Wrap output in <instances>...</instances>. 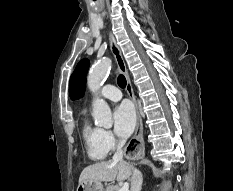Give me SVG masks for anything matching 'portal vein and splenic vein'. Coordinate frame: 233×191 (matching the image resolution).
<instances>
[{
  "instance_id": "18ae733b",
  "label": "portal vein and splenic vein",
  "mask_w": 233,
  "mask_h": 191,
  "mask_svg": "<svg viewBox=\"0 0 233 191\" xmlns=\"http://www.w3.org/2000/svg\"><path fill=\"white\" fill-rule=\"evenodd\" d=\"M120 191H129V184L124 183V185L121 187Z\"/></svg>"
}]
</instances>
